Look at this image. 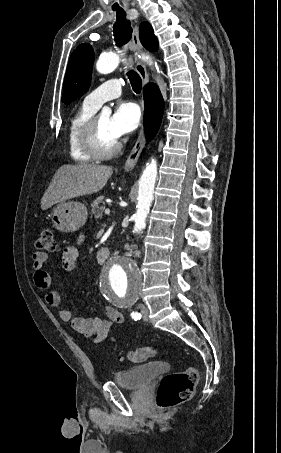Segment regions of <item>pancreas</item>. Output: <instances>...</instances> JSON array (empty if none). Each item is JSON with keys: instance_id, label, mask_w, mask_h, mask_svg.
<instances>
[{"instance_id": "1", "label": "pancreas", "mask_w": 281, "mask_h": 453, "mask_svg": "<svg viewBox=\"0 0 281 453\" xmlns=\"http://www.w3.org/2000/svg\"><path fill=\"white\" fill-rule=\"evenodd\" d=\"M104 196H97L91 204L90 218H102L104 210Z\"/></svg>"}]
</instances>
